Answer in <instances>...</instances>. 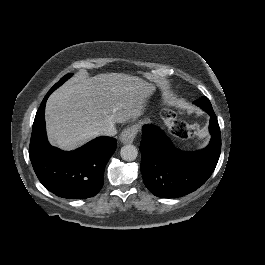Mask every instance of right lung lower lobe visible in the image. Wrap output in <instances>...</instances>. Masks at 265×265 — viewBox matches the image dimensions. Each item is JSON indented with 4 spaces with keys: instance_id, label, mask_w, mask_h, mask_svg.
Segmentation results:
<instances>
[{
    "instance_id": "98d812e1",
    "label": "right lung lower lobe",
    "mask_w": 265,
    "mask_h": 265,
    "mask_svg": "<svg viewBox=\"0 0 265 265\" xmlns=\"http://www.w3.org/2000/svg\"><path fill=\"white\" fill-rule=\"evenodd\" d=\"M52 92L43 99L33 123L29 148L33 169L42 185L59 197H92L103 186L104 169L116 149V139L99 137L69 152L52 147L45 129V104Z\"/></svg>"
}]
</instances>
